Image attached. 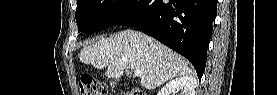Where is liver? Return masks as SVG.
Segmentation results:
<instances>
[{"label": "liver", "instance_id": "6515ba94", "mask_svg": "<svg viewBox=\"0 0 277 95\" xmlns=\"http://www.w3.org/2000/svg\"><path fill=\"white\" fill-rule=\"evenodd\" d=\"M81 62L97 69L107 67L108 78L120 79L125 70L142 72L141 85L155 89L175 77L191 76L187 61L154 38L134 30L120 31L84 47Z\"/></svg>", "mask_w": 277, "mask_h": 95}]
</instances>
